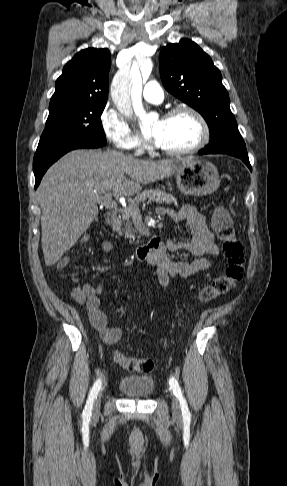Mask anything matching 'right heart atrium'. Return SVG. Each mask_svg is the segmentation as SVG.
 Listing matches in <instances>:
<instances>
[{"mask_svg":"<svg viewBox=\"0 0 287 486\" xmlns=\"http://www.w3.org/2000/svg\"><path fill=\"white\" fill-rule=\"evenodd\" d=\"M100 122L105 136L117 148L129 152L139 151L143 148L142 139L121 115L108 106L102 111Z\"/></svg>","mask_w":287,"mask_h":486,"instance_id":"1","label":"right heart atrium"}]
</instances>
